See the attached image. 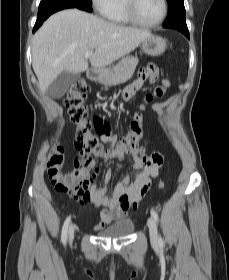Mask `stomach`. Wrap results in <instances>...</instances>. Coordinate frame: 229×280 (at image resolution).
<instances>
[{"label": "stomach", "instance_id": "stomach-1", "mask_svg": "<svg viewBox=\"0 0 229 280\" xmlns=\"http://www.w3.org/2000/svg\"><path fill=\"white\" fill-rule=\"evenodd\" d=\"M165 49L166 42L160 36L151 35L150 37L142 41V50L147 55L159 56L165 51ZM112 77L113 75L105 70L101 75L97 77V80L104 85H110Z\"/></svg>", "mask_w": 229, "mask_h": 280}]
</instances>
